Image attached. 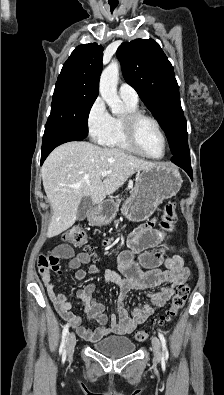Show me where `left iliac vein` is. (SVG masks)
<instances>
[{"instance_id":"1","label":"left iliac vein","mask_w":224,"mask_h":395,"mask_svg":"<svg viewBox=\"0 0 224 395\" xmlns=\"http://www.w3.org/2000/svg\"><path fill=\"white\" fill-rule=\"evenodd\" d=\"M152 348L154 353V361L160 362L161 361V344L159 339L156 336L152 337Z\"/></svg>"}]
</instances>
